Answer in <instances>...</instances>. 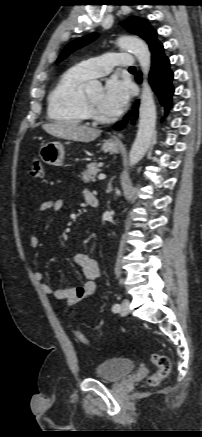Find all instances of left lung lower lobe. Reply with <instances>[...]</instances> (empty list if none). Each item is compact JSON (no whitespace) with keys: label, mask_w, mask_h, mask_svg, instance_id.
Segmentation results:
<instances>
[{"label":"left lung lower lobe","mask_w":202,"mask_h":437,"mask_svg":"<svg viewBox=\"0 0 202 437\" xmlns=\"http://www.w3.org/2000/svg\"><path fill=\"white\" fill-rule=\"evenodd\" d=\"M151 53L152 66L149 74V82L153 91L158 96L160 103L163 104L165 113L167 114L172 106L171 99L174 93V87L172 85L173 72L169 68L170 62L168 57L163 53V45L161 43L156 46ZM136 80L138 83L142 82L140 71L137 72ZM138 106L139 101H137L132 108L131 114L134 118H137ZM129 118L130 114H127L124 120L119 122L114 129L121 130Z\"/></svg>","instance_id":"obj_1"}]
</instances>
